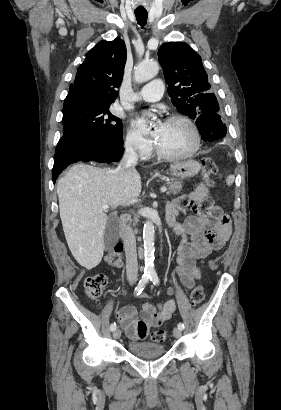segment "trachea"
<instances>
[{"label": "trachea", "instance_id": "3493384b", "mask_svg": "<svg viewBox=\"0 0 281 410\" xmlns=\"http://www.w3.org/2000/svg\"><path fill=\"white\" fill-rule=\"evenodd\" d=\"M135 16H136L138 24L144 27L147 23L148 13L147 12H135Z\"/></svg>", "mask_w": 281, "mask_h": 410}]
</instances>
